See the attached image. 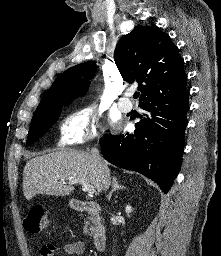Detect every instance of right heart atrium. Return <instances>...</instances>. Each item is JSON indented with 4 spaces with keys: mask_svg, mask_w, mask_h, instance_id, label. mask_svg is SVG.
I'll return each mask as SVG.
<instances>
[{
    "mask_svg": "<svg viewBox=\"0 0 221 256\" xmlns=\"http://www.w3.org/2000/svg\"><path fill=\"white\" fill-rule=\"evenodd\" d=\"M101 114L93 104L69 111L59 127V139L65 145H77L95 139L100 131Z\"/></svg>",
    "mask_w": 221,
    "mask_h": 256,
    "instance_id": "right-heart-atrium-1",
    "label": "right heart atrium"
}]
</instances>
